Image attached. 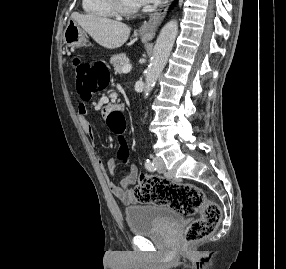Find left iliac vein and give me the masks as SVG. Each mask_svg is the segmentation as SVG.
I'll list each match as a JSON object with an SVG mask.
<instances>
[{"instance_id":"left-iliac-vein-1","label":"left iliac vein","mask_w":286,"mask_h":269,"mask_svg":"<svg viewBox=\"0 0 286 269\" xmlns=\"http://www.w3.org/2000/svg\"><path fill=\"white\" fill-rule=\"evenodd\" d=\"M153 161H154L155 165L157 166V169L159 172H165L166 171L164 161L161 158L155 157Z\"/></svg>"}]
</instances>
